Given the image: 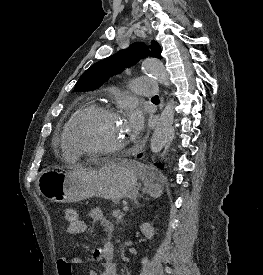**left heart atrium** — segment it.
Returning a JSON list of instances; mask_svg holds the SVG:
<instances>
[{
    "instance_id": "1",
    "label": "left heart atrium",
    "mask_w": 263,
    "mask_h": 275,
    "mask_svg": "<svg viewBox=\"0 0 263 275\" xmlns=\"http://www.w3.org/2000/svg\"><path fill=\"white\" fill-rule=\"evenodd\" d=\"M128 127L134 134L138 133L141 130L142 118L138 111L134 110L128 114Z\"/></svg>"
}]
</instances>
